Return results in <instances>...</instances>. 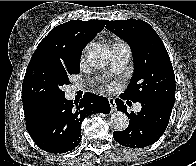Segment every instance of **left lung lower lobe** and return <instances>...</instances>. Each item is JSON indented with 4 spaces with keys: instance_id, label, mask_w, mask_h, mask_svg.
<instances>
[{
    "instance_id": "1",
    "label": "left lung lower lobe",
    "mask_w": 196,
    "mask_h": 166,
    "mask_svg": "<svg viewBox=\"0 0 196 166\" xmlns=\"http://www.w3.org/2000/svg\"><path fill=\"white\" fill-rule=\"evenodd\" d=\"M121 99H124L120 95ZM118 99V111L125 112L130 119L127 129L115 131L113 137L119 144L130 148L146 147L156 142L165 132L172 105L162 101L147 99L140 101L142 108L138 113H127L123 101ZM130 101H127V104Z\"/></svg>"
}]
</instances>
